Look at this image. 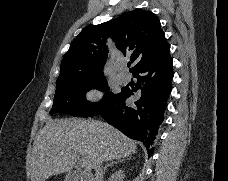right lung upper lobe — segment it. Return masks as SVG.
Here are the masks:
<instances>
[{"label":"right lung upper lobe","mask_w":228,"mask_h":181,"mask_svg":"<svg viewBox=\"0 0 228 181\" xmlns=\"http://www.w3.org/2000/svg\"><path fill=\"white\" fill-rule=\"evenodd\" d=\"M107 37L114 40L124 55H130L135 64L132 70L170 46L152 12L141 9L126 12L117 19L89 25L79 33L64 55L57 85L104 77Z\"/></svg>","instance_id":"1"}]
</instances>
